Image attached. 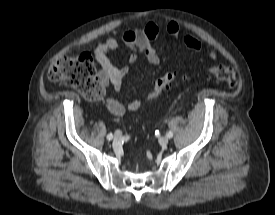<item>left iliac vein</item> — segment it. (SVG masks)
<instances>
[{
  "label": "left iliac vein",
  "instance_id": "left-iliac-vein-1",
  "mask_svg": "<svg viewBox=\"0 0 275 215\" xmlns=\"http://www.w3.org/2000/svg\"><path fill=\"white\" fill-rule=\"evenodd\" d=\"M168 142H169L168 137L163 136V137H160V138H159V143H160L162 146L167 145Z\"/></svg>",
  "mask_w": 275,
  "mask_h": 215
}]
</instances>
